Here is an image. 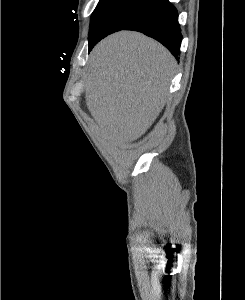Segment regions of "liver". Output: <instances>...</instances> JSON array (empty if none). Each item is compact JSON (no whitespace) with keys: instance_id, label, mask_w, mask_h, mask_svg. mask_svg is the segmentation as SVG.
Here are the masks:
<instances>
[{"instance_id":"liver-1","label":"liver","mask_w":245,"mask_h":300,"mask_svg":"<svg viewBox=\"0 0 245 300\" xmlns=\"http://www.w3.org/2000/svg\"><path fill=\"white\" fill-rule=\"evenodd\" d=\"M176 66L165 47L141 33L120 31L99 42L85 98L104 134L127 142L141 137L166 103Z\"/></svg>"}]
</instances>
